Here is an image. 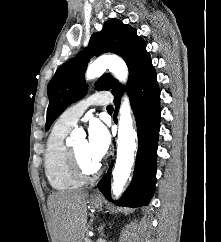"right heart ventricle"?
Wrapping results in <instances>:
<instances>
[{
  "instance_id": "1",
  "label": "right heart ventricle",
  "mask_w": 221,
  "mask_h": 242,
  "mask_svg": "<svg viewBox=\"0 0 221 242\" xmlns=\"http://www.w3.org/2000/svg\"><path fill=\"white\" fill-rule=\"evenodd\" d=\"M68 131L55 124L44 152L45 176L51 187L60 192L75 190L84 184V180L77 177L70 167L69 149L64 144Z\"/></svg>"
}]
</instances>
